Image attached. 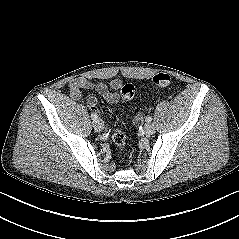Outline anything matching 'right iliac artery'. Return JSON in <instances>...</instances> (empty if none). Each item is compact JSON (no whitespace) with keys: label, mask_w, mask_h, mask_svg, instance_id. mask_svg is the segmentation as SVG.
I'll return each instance as SVG.
<instances>
[{"label":"right iliac artery","mask_w":239,"mask_h":239,"mask_svg":"<svg viewBox=\"0 0 239 239\" xmlns=\"http://www.w3.org/2000/svg\"><path fill=\"white\" fill-rule=\"evenodd\" d=\"M91 118H92L93 120H97L98 116H97L96 113H92V114H91Z\"/></svg>","instance_id":"right-iliac-artery-1"}]
</instances>
